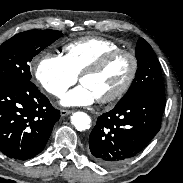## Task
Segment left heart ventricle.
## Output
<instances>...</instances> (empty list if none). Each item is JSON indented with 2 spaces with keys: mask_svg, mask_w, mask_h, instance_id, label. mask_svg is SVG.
I'll use <instances>...</instances> for the list:
<instances>
[{
  "mask_svg": "<svg viewBox=\"0 0 183 183\" xmlns=\"http://www.w3.org/2000/svg\"><path fill=\"white\" fill-rule=\"evenodd\" d=\"M130 70V59L126 55H120L102 71L82 78L81 84L87 86L96 99L104 98L124 84Z\"/></svg>",
  "mask_w": 183,
  "mask_h": 183,
  "instance_id": "1",
  "label": "left heart ventricle"
}]
</instances>
